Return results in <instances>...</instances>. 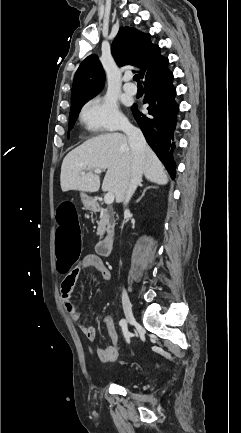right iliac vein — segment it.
Listing matches in <instances>:
<instances>
[{
  "label": "right iliac vein",
  "instance_id": "63e3f726",
  "mask_svg": "<svg viewBox=\"0 0 241 433\" xmlns=\"http://www.w3.org/2000/svg\"><path fill=\"white\" fill-rule=\"evenodd\" d=\"M122 303H123V309H124V313H125V317H126L127 321L130 324L134 323L135 319H134L133 312H132V305L130 302L129 295L125 289H123V292H122Z\"/></svg>",
  "mask_w": 241,
  "mask_h": 433
}]
</instances>
